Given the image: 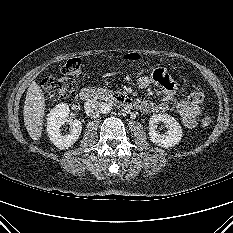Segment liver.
Here are the masks:
<instances>
[{"mask_svg": "<svg viewBox=\"0 0 233 233\" xmlns=\"http://www.w3.org/2000/svg\"><path fill=\"white\" fill-rule=\"evenodd\" d=\"M45 106L43 91L36 82H32L26 94L23 116L26 129L34 141L41 137Z\"/></svg>", "mask_w": 233, "mask_h": 233, "instance_id": "6515ba94", "label": "liver"}]
</instances>
